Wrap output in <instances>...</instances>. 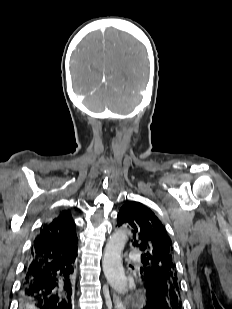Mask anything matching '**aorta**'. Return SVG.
<instances>
[{
  "label": "aorta",
  "mask_w": 232,
  "mask_h": 309,
  "mask_svg": "<svg viewBox=\"0 0 232 309\" xmlns=\"http://www.w3.org/2000/svg\"><path fill=\"white\" fill-rule=\"evenodd\" d=\"M127 239L125 230L115 231L108 239L102 260L104 275L110 286L118 293L127 291V278L121 258Z\"/></svg>",
  "instance_id": "762f6f07"
}]
</instances>
